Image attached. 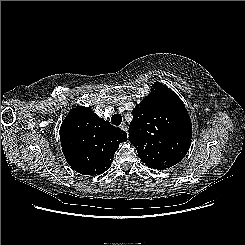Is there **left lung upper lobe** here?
Listing matches in <instances>:
<instances>
[{"instance_id":"obj_1","label":"left lung upper lobe","mask_w":245,"mask_h":245,"mask_svg":"<svg viewBox=\"0 0 245 245\" xmlns=\"http://www.w3.org/2000/svg\"><path fill=\"white\" fill-rule=\"evenodd\" d=\"M192 139L190 116L181 99L155 82L151 93L133 109L129 141L148 167L166 169L187 154Z\"/></svg>"}]
</instances>
